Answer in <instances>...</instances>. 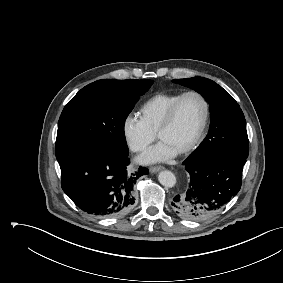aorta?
Wrapping results in <instances>:
<instances>
[{
	"label": "aorta",
	"instance_id": "1",
	"mask_svg": "<svg viewBox=\"0 0 283 283\" xmlns=\"http://www.w3.org/2000/svg\"><path fill=\"white\" fill-rule=\"evenodd\" d=\"M158 180L163 186L168 187V188H171L175 186L176 184L175 175L171 171H168V170L161 171L158 175Z\"/></svg>",
	"mask_w": 283,
	"mask_h": 283
}]
</instances>
